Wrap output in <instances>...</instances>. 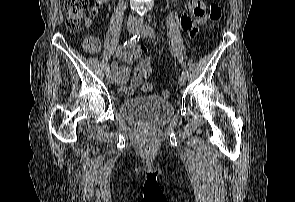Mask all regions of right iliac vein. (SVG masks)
<instances>
[{"instance_id": "63e3f726", "label": "right iliac vein", "mask_w": 295, "mask_h": 202, "mask_svg": "<svg viewBox=\"0 0 295 202\" xmlns=\"http://www.w3.org/2000/svg\"><path fill=\"white\" fill-rule=\"evenodd\" d=\"M137 29H138V27H137L136 23L130 22L128 25L127 31L129 34H133L137 31ZM106 79H107L108 83L112 84L115 81V76L113 73L109 72L106 74Z\"/></svg>"}]
</instances>
